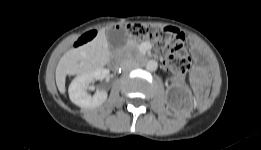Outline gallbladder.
Segmentation results:
<instances>
[{"instance_id":"gallbladder-1","label":"gallbladder","mask_w":261,"mask_h":150,"mask_svg":"<svg viewBox=\"0 0 261 150\" xmlns=\"http://www.w3.org/2000/svg\"><path fill=\"white\" fill-rule=\"evenodd\" d=\"M106 38L111 51L124 44V34L113 29L106 30Z\"/></svg>"}]
</instances>
